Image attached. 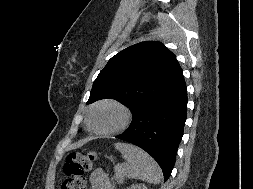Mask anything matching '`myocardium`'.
Segmentation results:
<instances>
[{"label": "myocardium", "mask_w": 253, "mask_h": 189, "mask_svg": "<svg viewBox=\"0 0 253 189\" xmlns=\"http://www.w3.org/2000/svg\"><path fill=\"white\" fill-rule=\"evenodd\" d=\"M102 106H113L121 112L122 121L117 127L113 128L111 130H108V131H99V130H96L92 126V122H91L92 114L96 109H98L99 107H102ZM130 121H131V114H130V111L128 110V108L125 105H123L122 103H120L116 100H112V99H106V100H102V101L97 102L89 109L87 116H86V124H87L88 129L92 133L99 135V136L116 135V134L124 131L129 126Z\"/></svg>", "instance_id": "myocardium-1"}]
</instances>
